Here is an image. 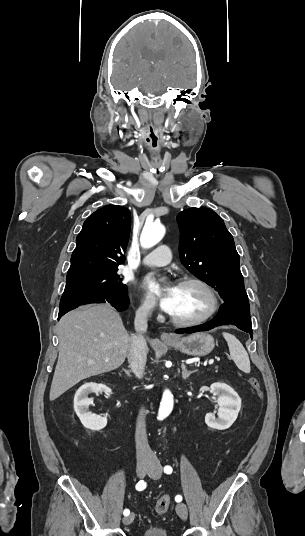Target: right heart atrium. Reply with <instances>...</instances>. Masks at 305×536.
Here are the masks:
<instances>
[{"label":"right heart atrium","mask_w":305,"mask_h":536,"mask_svg":"<svg viewBox=\"0 0 305 536\" xmlns=\"http://www.w3.org/2000/svg\"><path fill=\"white\" fill-rule=\"evenodd\" d=\"M154 310V305L150 300H144L142 301L137 309V313L139 316L145 317L149 316Z\"/></svg>","instance_id":"obj_1"}]
</instances>
